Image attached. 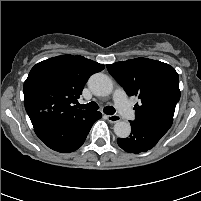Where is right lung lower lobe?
<instances>
[{"label":"right lung lower lobe","mask_w":201,"mask_h":201,"mask_svg":"<svg viewBox=\"0 0 201 201\" xmlns=\"http://www.w3.org/2000/svg\"><path fill=\"white\" fill-rule=\"evenodd\" d=\"M100 112L68 126H41L34 128L36 135L51 149L68 153L77 150L85 141L93 123L100 119Z\"/></svg>","instance_id":"1"}]
</instances>
